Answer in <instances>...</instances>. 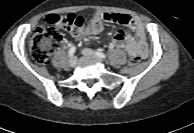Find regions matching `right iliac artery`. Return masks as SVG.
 Masks as SVG:
<instances>
[{
  "label": "right iliac artery",
  "mask_w": 194,
  "mask_h": 133,
  "mask_svg": "<svg viewBox=\"0 0 194 133\" xmlns=\"http://www.w3.org/2000/svg\"><path fill=\"white\" fill-rule=\"evenodd\" d=\"M75 51H76V47L75 46H72L69 49V51H68L69 56L72 57L74 55Z\"/></svg>",
  "instance_id": "82829eb1"
}]
</instances>
